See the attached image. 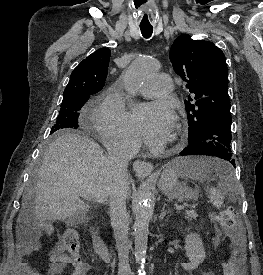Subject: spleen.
I'll list each match as a JSON object with an SVG mask.
<instances>
[{
    "label": "spleen",
    "instance_id": "obj_1",
    "mask_svg": "<svg viewBox=\"0 0 263 275\" xmlns=\"http://www.w3.org/2000/svg\"><path fill=\"white\" fill-rule=\"evenodd\" d=\"M172 166L181 178L192 179L201 183L215 173V177L218 178V185L216 188H211L209 198L216 208L223 205L226 192L237 191L238 182L231 164L227 161L206 157L179 158L172 163Z\"/></svg>",
    "mask_w": 263,
    "mask_h": 275
}]
</instances>
